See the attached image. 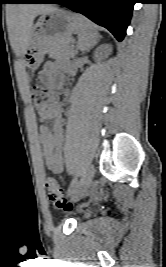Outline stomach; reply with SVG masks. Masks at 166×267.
Masks as SVG:
<instances>
[{
	"instance_id": "0dacf381",
	"label": "stomach",
	"mask_w": 166,
	"mask_h": 267,
	"mask_svg": "<svg viewBox=\"0 0 166 267\" xmlns=\"http://www.w3.org/2000/svg\"><path fill=\"white\" fill-rule=\"evenodd\" d=\"M80 24V15L60 9L41 15L25 52V61L30 70L34 72L40 66L45 53L55 41L78 32Z\"/></svg>"
}]
</instances>
